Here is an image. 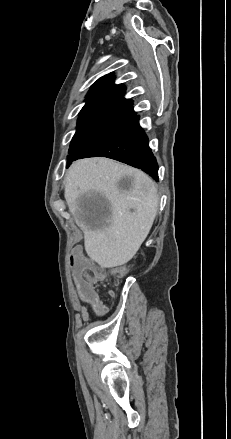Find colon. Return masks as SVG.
<instances>
[{
	"instance_id": "colon-1",
	"label": "colon",
	"mask_w": 231,
	"mask_h": 439,
	"mask_svg": "<svg viewBox=\"0 0 231 439\" xmlns=\"http://www.w3.org/2000/svg\"><path fill=\"white\" fill-rule=\"evenodd\" d=\"M72 257V262L74 264V287L78 288V295L81 301L87 306H92L93 309L103 310V299L102 297H97V291L94 290V285L97 279L101 277V273L91 267V260L87 259L86 251L81 245L76 246L75 249L70 251ZM124 268L114 269L111 274L112 276H121L124 273ZM100 318H105V313H100Z\"/></svg>"
}]
</instances>
